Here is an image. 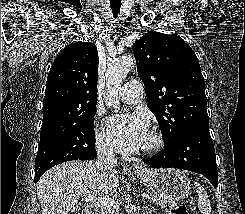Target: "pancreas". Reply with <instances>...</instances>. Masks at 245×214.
I'll list each match as a JSON object with an SVG mask.
<instances>
[{"label":"pancreas","mask_w":245,"mask_h":214,"mask_svg":"<svg viewBox=\"0 0 245 214\" xmlns=\"http://www.w3.org/2000/svg\"><path fill=\"white\" fill-rule=\"evenodd\" d=\"M152 202L160 207L171 205V202L156 194H152ZM99 214H119V206L116 204L115 206L101 207L99 208Z\"/></svg>","instance_id":"cf45deb5"}]
</instances>
